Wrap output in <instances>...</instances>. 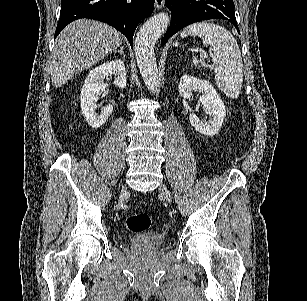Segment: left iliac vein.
I'll use <instances>...</instances> for the list:
<instances>
[{
    "instance_id": "obj_1",
    "label": "left iliac vein",
    "mask_w": 307,
    "mask_h": 301,
    "mask_svg": "<svg viewBox=\"0 0 307 301\" xmlns=\"http://www.w3.org/2000/svg\"><path fill=\"white\" fill-rule=\"evenodd\" d=\"M160 193L164 196V198L169 202L172 203V199L171 196L169 194V190L167 189V187L163 184L160 186L159 189Z\"/></svg>"
}]
</instances>
